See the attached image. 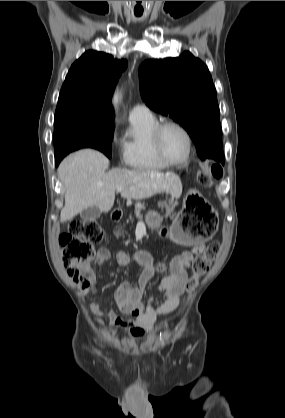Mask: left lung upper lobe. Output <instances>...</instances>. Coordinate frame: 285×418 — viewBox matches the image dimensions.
<instances>
[{
	"mask_svg": "<svg viewBox=\"0 0 285 418\" xmlns=\"http://www.w3.org/2000/svg\"><path fill=\"white\" fill-rule=\"evenodd\" d=\"M139 77L146 105L183 126L202 160L223 152L216 89L200 59L186 51L175 58L147 60L140 66ZM224 160L223 155L217 161Z\"/></svg>",
	"mask_w": 285,
	"mask_h": 418,
	"instance_id": "5c2ea615",
	"label": "left lung upper lobe"
}]
</instances>
